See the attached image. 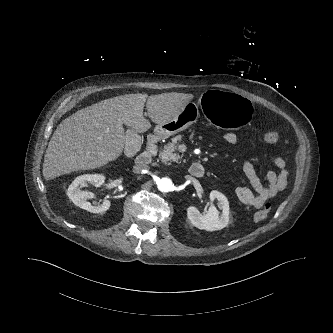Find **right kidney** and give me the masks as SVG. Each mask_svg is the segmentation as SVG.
<instances>
[{"mask_svg": "<svg viewBox=\"0 0 333 333\" xmlns=\"http://www.w3.org/2000/svg\"><path fill=\"white\" fill-rule=\"evenodd\" d=\"M105 182V177L102 174H85L78 176L69 186L67 190L68 197L72 202L91 213H104L110 207V201L104 200L102 204H91L87 200L93 198L92 192L82 191L87 183L93 184L95 187H100Z\"/></svg>", "mask_w": 333, "mask_h": 333, "instance_id": "right-kidney-1", "label": "right kidney"}]
</instances>
